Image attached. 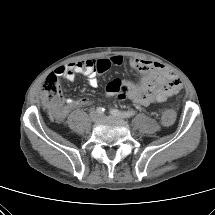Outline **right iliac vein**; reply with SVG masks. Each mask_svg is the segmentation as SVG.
<instances>
[{"mask_svg":"<svg viewBox=\"0 0 215 215\" xmlns=\"http://www.w3.org/2000/svg\"><path fill=\"white\" fill-rule=\"evenodd\" d=\"M90 117L93 121H97L99 119V115L96 112H91Z\"/></svg>","mask_w":215,"mask_h":215,"instance_id":"right-iliac-vein-1","label":"right iliac vein"}]
</instances>
